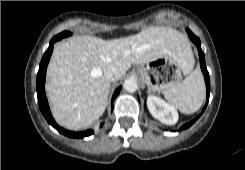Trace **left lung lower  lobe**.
<instances>
[{
    "label": "left lung lower lobe",
    "instance_id": "1",
    "mask_svg": "<svg viewBox=\"0 0 245 170\" xmlns=\"http://www.w3.org/2000/svg\"><path fill=\"white\" fill-rule=\"evenodd\" d=\"M186 31H187V33L189 35V38L192 40V42L198 48V53H199V58H200V66H201L202 72H203L204 77H205V83H206V89H207V103H208L209 95H210V79H209V73H208V71L206 69L204 53H203V51L201 49V42H200L199 38L196 37L189 29H186ZM207 103H206V105H207ZM204 109H203V111H204ZM199 117H200V115L197 118H199ZM197 118L195 120H197ZM195 120L191 121L188 124L183 125L181 127V129H186V128L190 127L195 122Z\"/></svg>",
    "mask_w": 245,
    "mask_h": 170
}]
</instances>
